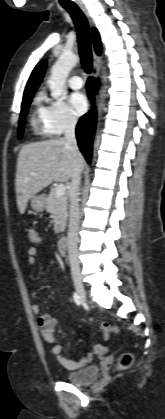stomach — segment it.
<instances>
[{
    "label": "stomach",
    "instance_id": "obj_1",
    "mask_svg": "<svg viewBox=\"0 0 165 419\" xmlns=\"http://www.w3.org/2000/svg\"><path fill=\"white\" fill-rule=\"evenodd\" d=\"M46 206V198L44 195H37L31 198V208L36 212H42Z\"/></svg>",
    "mask_w": 165,
    "mask_h": 419
}]
</instances>
